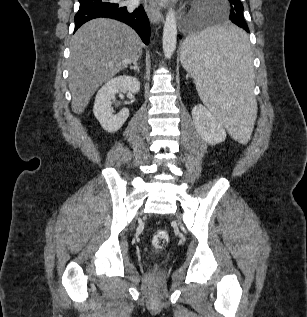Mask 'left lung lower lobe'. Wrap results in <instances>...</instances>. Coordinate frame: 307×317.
Wrapping results in <instances>:
<instances>
[{"instance_id": "0a47b994", "label": "left lung lower lobe", "mask_w": 307, "mask_h": 317, "mask_svg": "<svg viewBox=\"0 0 307 317\" xmlns=\"http://www.w3.org/2000/svg\"><path fill=\"white\" fill-rule=\"evenodd\" d=\"M234 24L242 28L244 31H241V33L238 36H229L226 37L223 41V44L225 47H227L230 50L237 51L241 49L244 44L247 42V35L245 32H249L247 24L241 23L237 18H234L231 20ZM179 38L181 36L179 35Z\"/></svg>"}]
</instances>
